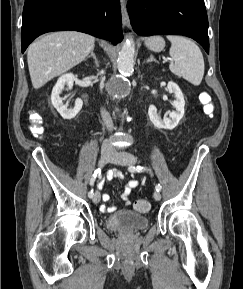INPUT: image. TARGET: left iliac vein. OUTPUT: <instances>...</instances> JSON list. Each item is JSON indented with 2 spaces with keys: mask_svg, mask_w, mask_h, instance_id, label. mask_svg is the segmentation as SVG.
Here are the masks:
<instances>
[{
  "mask_svg": "<svg viewBox=\"0 0 243 289\" xmlns=\"http://www.w3.org/2000/svg\"><path fill=\"white\" fill-rule=\"evenodd\" d=\"M111 161L118 165H126L133 166L136 162V158L134 155L126 152H114ZM153 197L155 200L159 201L161 199V194L158 191L153 193Z\"/></svg>",
  "mask_w": 243,
  "mask_h": 289,
  "instance_id": "4c4485c4",
  "label": "left iliac vein"
}]
</instances>
